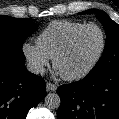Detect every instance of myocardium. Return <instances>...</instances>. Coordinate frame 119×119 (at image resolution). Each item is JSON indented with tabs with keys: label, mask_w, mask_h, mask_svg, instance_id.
<instances>
[{
	"label": "myocardium",
	"mask_w": 119,
	"mask_h": 119,
	"mask_svg": "<svg viewBox=\"0 0 119 119\" xmlns=\"http://www.w3.org/2000/svg\"><path fill=\"white\" fill-rule=\"evenodd\" d=\"M88 28H95L100 32L101 35V45H100V49L98 51V53L96 54V56L94 57V59L92 60V62L82 71L76 73V74H72V75H61L63 79L67 80V81H77V80H81L83 78H85L88 74H90L92 72V70L96 67V65L99 63L101 57L103 56V53L105 51V47H106V35L104 30L97 24L94 23H88V24H84L83 26H81L80 28H78L77 30H75L67 39V41L65 42V44L60 48V50L55 54V56L53 57V67L57 70V64L59 62V60L70 50L71 46L73 45V42L75 41V39L77 38V36L83 32L84 30L88 29Z\"/></svg>",
	"instance_id": "obj_1"
}]
</instances>
